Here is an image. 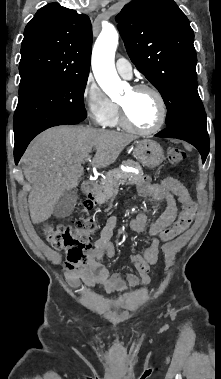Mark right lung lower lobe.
Here are the masks:
<instances>
[{
	"label": "right lung lower lobe",
	"instance_id": "1",
	"mask_svg": "<svg viewBox=\"0 0 221 379\" xmlns=\"http://www.w3.org/2000/svg\"><path fill=\"white\" fill-rule=\"evenodd\" d=\"M81 121H83V120L75 119V118H66L63 121L59 122V125H62V124H78ZM30 141L31 140L26 141V142H21V143H15L14 159H15L16 164H18L20 157L23 155V153H24V151H25V149L28 146Z\"/></svg>",
	"mask_w": 221,
	"mask_h": 379
}]
</instances>
